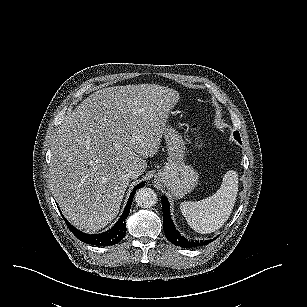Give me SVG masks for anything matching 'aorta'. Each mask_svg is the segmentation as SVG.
I'll use <instances>...</instances> for the list:
<instances>
[{
    "label": "aorta",
    "mask_w": 307,
    "mask_h": 307,
    "mask_svg": "<svg viewBox=\"0 0 307 307\" xmlns=\"http://www.w3.org/2000/svg\"><path fill=\"white\" fill-rule=\"evenodd\" d=\"M136 204L141 208H149L156 203V194L151 188L143 187L135 193Z\"/></svg>",
    "instance_id": "obj_1"
}]
</instances>
